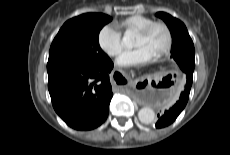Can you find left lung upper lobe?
I'll list each match as a JSON object with an SVG mask.
<instances>
[{
    "mask_svg": "<svg viewBox=\"0 0 230 155\" xmlns=\"http://www.w3.org/2000/svg\"><path fill=\"white\" fill-rule=\"evenodd\" d=\"M156 16L163 19L170 29L173 38L171 50L173 59L185 73V76L188 74L193 75L195 49L186 26L180 20L167 13L158 12Z\"/></svg>",
    "mask_w": 230,
    "mask_h": 155,
    "instance_id": "5c2ea615",
    "label": "left lung upper lobe"
}]
</instances>
